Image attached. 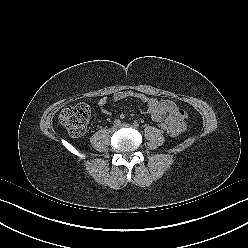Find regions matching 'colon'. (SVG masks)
I'll list each match as a JSON object with an SVG mask.
<instances>
[{
	"label": "colon",
	"instance_id": "colon-1",
	"mask_svg": "<svg viewBox=\"0 0 248 248\" xmlns=\"http://www.w3.org/2000/svg\"><path fill=\"white\" fill-rule=\"evenodd\" d=\"M89 118L90 109L84 103L68 106L59 115L60 123L73 137H80L85 133ZM158 127L162 132L170 133V128L166 122H159Z\"/></svg>",
	"mask_w": 248,
	"mask_h": 248
}]
</instances>
